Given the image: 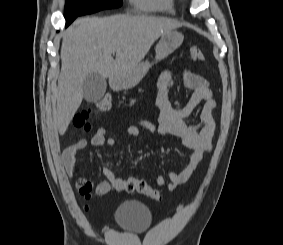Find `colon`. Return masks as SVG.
<instances>
[{"instance_id":"colon-1","label":"colon","mask_w":283,"mask_h":245,"mask_svg":"<svg viewBox=\"0 0 283 245\" xmlns=\"http://www.w3.org/2000/svg\"><path fill=\"white\" fill-rule=\"evenodd\" d=\"M190 57L193 61H204L205 57L202 50L197 46H192L189 50ZM112 106V98L106 95L99 100L94 107L88 108L74 117L73 124L76 128L83 129L85 131L90 129V118L95 113L107 112ZM79 193L86 199L91 196L92 184L85 178H79L76 183ZM112 187L114 190L127 191V192H138L145 195L155 201L161 200L159 191L151 187L146 181L137 178H119L113 182Z\"/></svg>"}]
</instances>
